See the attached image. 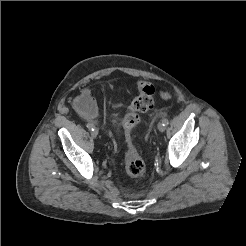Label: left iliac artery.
Wrapping results in <instances>:
<instances>
[{"label":"left iliac artery","mask_w":246,"mask_h":246,"mask_svg":"<svg viewBox=\"0 0 246 246\" xmlns=\"http://www.w3.org/2000/svg\"><path fill=\"white\" fill-rule=\"evenodd\" d=\"M162 123L164 126H167L169 124V121H168V119L165 118L162 120Z\"/></svg>","instance_id":"44dca946"}]
</instances>
